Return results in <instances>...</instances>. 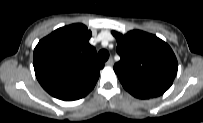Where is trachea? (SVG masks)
Masks as SVG:
<instances>
[{
	"label": "trachea",
	"instance_id": "3493384b",
	"mask_svg": "<svg viewBox=\"0 0 203 123\" xmlns=\"http://www.w3.org/2000/svg\"><path fill=\"white\" fill-rule=\"evenodd\" d=\"M108 58H109V52L107 50L103 49L98 52V60L105 62L108 60Z\"/></svg>",
	"mask_w": 203,
	"mask_h": 123
}]
</instances>
